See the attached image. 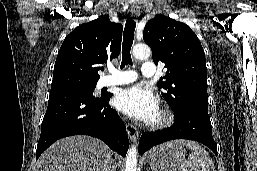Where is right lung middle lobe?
I'll return each instance as SVG.
<instances>
[{"label":"right lung middle lobe","instance_id":"right-lung-middle-lobe-1","mask_svg":"<svg viewBox=\"0 0 257 171\" xmlns=\"http://www.w3.org/2000/svg\"><path fill=\"white\" fill-rule=\"evenodd\" d=\"M96 83L97 82L72 83V84H68L66 86L51 87L50 94H57V93L75 91V92H85V93L93 95L94 89L96 87ZM104 95L105 94H102L101 96H104Z\"/></svg>","mask_w":257,"mask_h":171}]
</instances>
